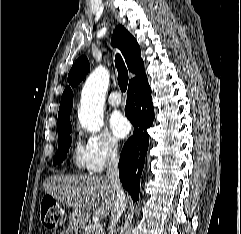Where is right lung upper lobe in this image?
Wrapping results in <instances>:
<instances>
[{
	"instance_id": "obj_1",
	"label": "right lung upper lobe",
	"mask_w": 241,
	"mask_h": 234,
	"mask_svg": "<svg viewBox=\"0 0 241 234\" xmlns=\"http://www.w3.org/2000/svg\"><path fill=\"white\" fill-rule=\"evenodd\" d=\"M112 45L117 46L123 52L128 69L136 76L130 80L144 75V62L140 56V47L136 39L122 26L115 28L113 33ZM90 70V64L85 56L79 58L73 65L68 75V82L71 86H76L86 76ZM129 82V83H130ZM73 104V93L70 87H66L61 97L60 108L58 112V131L71 127L70 112Z\"/></svg>"
}]
</instances>
